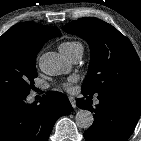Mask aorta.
I'll list each match as a JSON object with an SVG mask.
<instances>
[{"label": "aorta", "mask_w": 141, "mask_h": 141, "mask_svg": "<svg viewBox=\"0 0 141 141\" xmlns=\"http://www.w3.org/2000/svg\"><path fill=\"white\" fill-rule=\"evenodd\" d=\"M39 68L41 71L50 76L60 75L66 71L67 66L62 61L59 54L55 52L44 53L39 59ZM93 114L86 110L80 109L75 116V122L78 127L88 129L93 124Z\"/></svg>", "instance_id": "762f6f07"}]
</instances>
